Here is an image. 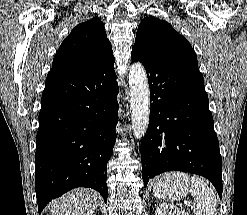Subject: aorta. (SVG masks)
<instances>
[{"label": "aorta", "mask_w": 247, "mask_h": 215, "mask_svg": "<svg viewBox=\"0 0 247 215\" xmlns=\"http://www.w3.org/2000/svg\"><path fill=\"white\" fill-rule=\"evenodd\" d=\"M130 109L133 134L142 139L147 131L150 116V91L144 66L133 63L129 69Z\"/></svg>", "instance_id": "762f6f07"}]
</instances>
